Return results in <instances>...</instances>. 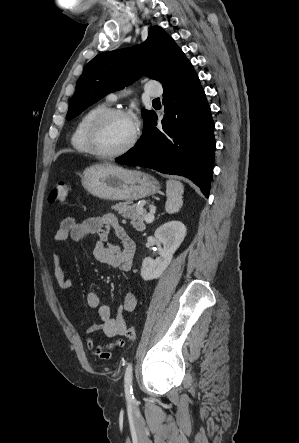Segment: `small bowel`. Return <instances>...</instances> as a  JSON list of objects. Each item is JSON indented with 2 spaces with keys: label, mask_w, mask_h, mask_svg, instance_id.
Here are the masks:
<instances>
[{
  "label": "small bowel",
  "mask_w": 299,
  "mask_h": 443,
  "mask_svg": "<svg viewBox=\"0 0 299 443\" xmlns=\"http://www.w3.org/2000/svg\"><path fill=\"white\" fill-rule=\"evenodd\" d=\"M111 233H114L120 240V245L111 241ZM91 235L98 237L93 250L94 258L97 261L122 271H130L133 268L134 244L127 237L114 214L109 213L83 221L68 217L60 223L54 239L57 243L65 242L68 239L79 242ZM52 260L58 286L62 290H70L72 283L64 272L61 249L58 248L54 251ZM86 303L90 309L95 311L98 318L97 322L85 328L86 334L91 335L101 331L107 338L114 339L106 346H99L96 345L92 337L88 336L86 346L94 356L110 359L113 351L124 347V341L118 337L125 333L126 313L134 311L137 306L136 294L131 291L125 293L115 316H112L110 307L102 303L99 295L95 292H89L86 295Z\"/></svg>",
  "instance_id": "small-bowel-1"
}]
</instances>
